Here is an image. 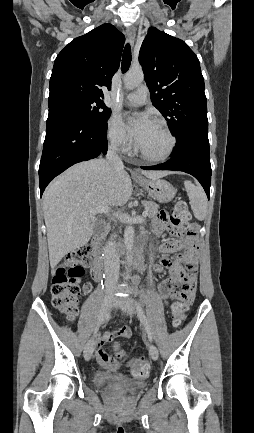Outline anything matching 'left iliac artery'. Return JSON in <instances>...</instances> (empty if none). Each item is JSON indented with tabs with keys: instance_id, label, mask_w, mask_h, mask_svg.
Returning <instances> with one entry per match:
<instances>
[{
	"instance_id": "44dca946",
	"label": "left iliac artery",
	"mask_w": 254,
	"mask_h": 433,
	"mask_svg": "<svg viewBox=\"0 0 254 433\" xmlns=\"http://www.w3.org/2000/svg\"><path fill=\"white\" fill-rule=\"evenodd\" d=\"M136 310H137V314H138V317L140 319V322L144 326V329L148 335L149 341H152V335H151L150 328H149V325L147 322V318L145 316V313L143 311L141 304L138 302H136Z\"/></svg>"
}]
</instances>
